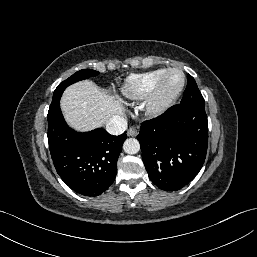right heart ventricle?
<instances>
[{"label": "right heart ventricle", "mask_w": 257, "mask_h": 257, "mask_svg": "<svg viewBox=\"0 0 257 257\" xmlns=\"http://www.w3.org/2000/svg\"><path fill=\"white\" fill-rule=\"evenodd\" d=\"M166 70L165 68L157 69L129 77L120 89L122 97L130 102L146 99Z\"/></svg>", "instance_id": "right-heart-ventricle-1"}]
</instances>
